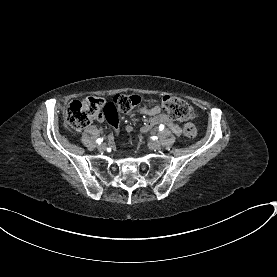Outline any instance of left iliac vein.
Listing matches in <instances>:
<instances>
[{"label":"left iliac vein","instance_id":"1","mask_svg":"<svg viewBox=\"0 0 277 277\" xmlns=\"http://www.w3.org/2000/svg\"><path fill=\"white\" fill-rule=\"evenodd\" d=\"M148 146L150 149L156 150L161 148V143L159 141H150L148 143Z\"/></svg>","mask_w":277,"mask_h":277}]
</instances>
